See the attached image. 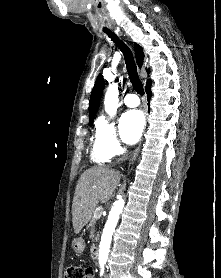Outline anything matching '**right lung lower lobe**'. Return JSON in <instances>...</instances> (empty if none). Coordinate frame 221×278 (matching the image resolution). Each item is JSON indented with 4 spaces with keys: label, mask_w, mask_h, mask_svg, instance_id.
Listing matches in <instances>:
<instances>
[{
    "label": "right lung lower lobe",
    "mask_w": 221,
    "mask_h": 278,
    "mask_svg": "<svg viewBox=\"0 0 221 278\" xmlns=\"http://www.w3.org/2000/svg\"><path fill=\"white\" fill-rule=\"evenodd\" d=\"M151 80L147 83V86H146V93H147V97H148V100L150 99L151 97Z\"/></svg>",
    "instance_id": "98d812e1"
}]
</instances>
